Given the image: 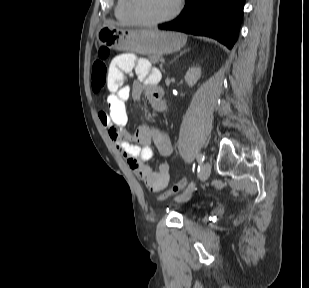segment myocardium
Segmentation results:
<instances>
[{"instance_id":"1","label":"myocardium","mask_w":309,"mask_h":288,"mask_svg":"<svg viewBox=\"0 0 309 288\" xmlns=\"http://www.w3.org/2000/svg\"><path fill=\"white\" fill-rule=\"evenodd\" d=\"M183 4H184V0H177L176 6L172 10L171 13H169L168 15L162 18L156 19V20H146V19L141 18L136 12L135 0H126V11L134 24L145 26V27H152V26L163 24L165 22H168L174 19L181 12L183 8Z\"/></svg>"}]
</instances>
